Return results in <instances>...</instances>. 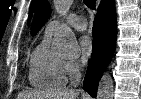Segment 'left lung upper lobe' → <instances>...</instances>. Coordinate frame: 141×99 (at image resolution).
<instances>
[{
	"label": "left lung upper lobe",
	"mask_w": 141,
	"mask_h": 99,
	"mask_svg": "<svg viewBox=\"0 0 141 99\" xmlns=\"http://www.w3.org/2000/svg\"><path fill=\"white\" fill-rule=\"evenodd\" d=\"M33 5H34V1L32 2V5H31L30 17H31V15H32Z\"/></svg>",
	"instance_id": "left-lung-upper-lobe-1"
}]
</instances>
